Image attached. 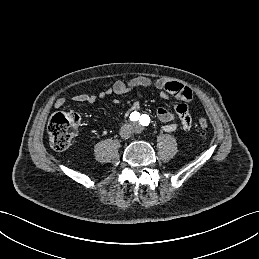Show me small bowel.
I'll list each match as a JSON object with an SVG mask.
<instances>
[{"label":"small bowel","mask_w":259,"mask_h":259,"mask_svg":"<svg viewBox=\"0 0 259 259\" xmlns=\"http://www.w3.org/2000/svg\"><path fill=\"white\" fill-rule=\"evenodd\" d=\"M139 88H155L162 92L163 97L169 98V96H172L179 101V103L175 104L176 114L180 120L179 125L176 122H174L175 115L166 108L160 107L156 111V116L158 120L163 124L162 129L165 132H174L177 130L179 126L183 130L191 129L192 119L189 114L188 106L186 103L191 100L192 92L188 87L176 81H152L146 77H136L127 82L118 80L114 82V84L111 87L100 92L99 94H78L73 97V101L94 104L98 99H103L106 96L124 95ZM64 104L65 99L61 97L55 101L54 105L55 107L60 108L64 106ZM139 107V102L135 101L130 106V111H136L139 109Z\"/></svg>","instance_id":"1"}]
</instances>
